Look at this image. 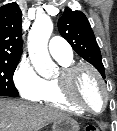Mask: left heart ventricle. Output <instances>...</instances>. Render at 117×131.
<instances>
[{
	"label": "left heart ventricle",
	"mask_w": 117,
	"mask_h": 131,
	"mask_svg": "<svg viewBox=\"0 0 117 131\" xmlns=\"http://www.w3.org/2000/svg\"><path fill=\"white\" fill-rule=\"evenodd\" d=\"M78 98L95 111L103 106V93L96 78L87 70L81 71L75 81Z\"/></svg>",
	"instance_id": "1"
}]
</instances>
